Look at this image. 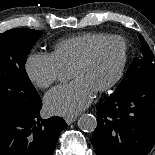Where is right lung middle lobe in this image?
Returning a JSON list of instances; mask_svg holds the SVG:
<instances>
[{
	"mask_svg": "<svg viewBox=\"0 0 155 155\" xmlns=\"http://www.w3.org/2000/svg\"><path fill=\"white\" fill-rule=\"evenodd\" d=\"M42 31L12 29L0 34V115H27L41 99L26 71L25 60Z\"/></svg>",
	"mask_w": 155,
	"mask_h": 155,
	"instance_id": "1",
	"label": "right lung middle lobe"
}]
</instances>
